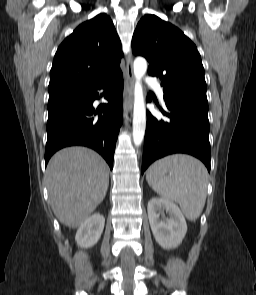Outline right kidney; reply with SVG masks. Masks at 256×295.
Wrapping results in <instances>:
<instances>
[{
	"instance_id": "right-kidney-1",
	"label": "right kidney",
	"mask_w": 256,
	"mask_h": 295,
	"mask_svg": "<svg viewBox=\"0 0 256 295\" xmlns=\"http://www.w3.org/2000/svg\"><path fill=\"white\" fill-rule=\"evenodd\" d=\"M105 218L99 213L91 215L77 230L75 240L80 247L94 246L101 237L104 229Z\"/></svg>"
}]
</instances>
